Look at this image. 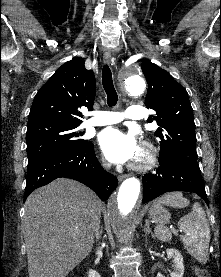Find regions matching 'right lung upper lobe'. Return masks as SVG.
<instances>
[{"label":"right lung upper lobe","mask_w":221,"mask_h":277,"mask_svg":"<svg viewBox=\"0 0 221 277\" xmlns=\"http://www.w3.org/2000/svg\"><path fill=\"white\" fill-rule=\"evenodd\" d=\"M74 58L59 67L36 94L28 126L47 123L81 124L79 108L92 110L96 95L95 77Z\"/></svg>","instance_id":"right-lung-upper-lobe-1"}]
</instances>
